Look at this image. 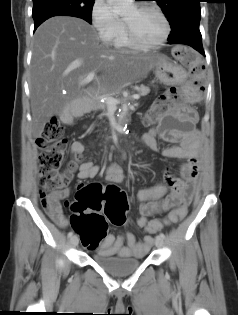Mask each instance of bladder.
Segmentation results:
<instances>
[{
    "label": "bladder",
    "mask_w": 238,
    "mask_h": 315,
    "mask_svg": "<svg viewBox=\"0 0 238 315\" xmlns=\"http://www.w3.org/2000/svg\"><path fill=\"white\" fill-rule=\"evenodd\" d=\"M92 259L99 267L115 276L130 274L142 263V259L138 258L109 257L101 254H94Z\"/></svg>",
    "instance_id": "obj_1"
}]
</instances>
